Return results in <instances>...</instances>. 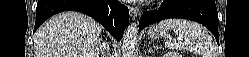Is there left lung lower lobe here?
Instances as JSON below:
<instances>
[{
	"label": "left lung lower lobe",
	"mask_w": 249,
	"mask_h": 57,
	"mask_svg": "<svg viewBox=\"0 0 249 57\" xmlns=\"http://www.w3.org/2000/svg\"><path fill=\"white\" fill-rule=\"evenodd\" d=\"M167 18L193 20L206 26L218 38V14L214 0H164L158 10L146 11L139 22V31L144 27Z\"/></svg>",
	"instance_id": "obj_1"
}]
</instances>
